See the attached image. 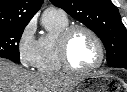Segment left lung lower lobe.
Wrapping results in <instances>:
<instances>
[{
  "instance_id": "0a47b994",
  "label": "left lung lower lobe",
  "mask_w": 127,
  "mask_h": 92,
  "mask_svg": "<svg viewBox=\"0 0 127 92\" xmlns=\"http://www.w3.org/2000/svg\"><path fill=\"white\" fill-rule=\"evenodd\" d=\"M110 67H120L127 69V59H122L117 61L116 63L110 64Z\"/></svg>"
}]
</instances>
